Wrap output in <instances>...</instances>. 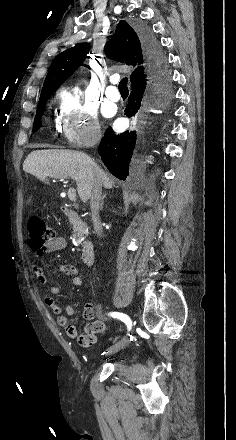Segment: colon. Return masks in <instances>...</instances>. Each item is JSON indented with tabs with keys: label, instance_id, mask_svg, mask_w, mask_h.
Segmentation results:
<instances>
[{
	"label": "colon",
	"instance_id": "obj_1",
	"mask_svg": "<svg viewBox=\"0 0 236 440\" xmlns=\"http://www.w3.org/2000/svg\"><path fill=\"white\" fill-rule=\"evenodd\" d=\"M29 246L33 250L41 249L55 237L54 230L39 215H31L27 221Z\"/></svg>",
	"mask_w": 236,
	"mask_h": 440
}]
</instances>
